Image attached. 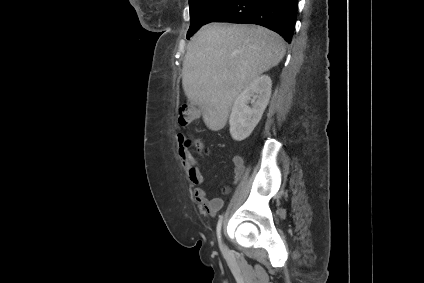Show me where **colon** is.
<instances>
[{
	"mask_svg": "<svg viewBox=\"0 0 424 283\" xmlns=\"http://www.w3.org/2000/svg\"><path fill=\"white\" fill-rule=\"evenodd\" d=\"M197 116V109L191 103L183 104L178 111L177 127L184 128L188 126Z\"/></svg>",
	"mask_w": 424,
	"mask_h": 283,
	"instance_id": "colon-1",
	"label": "colon"
}]
</instances>
